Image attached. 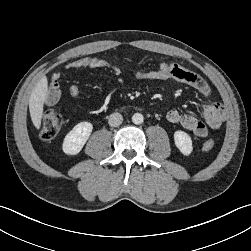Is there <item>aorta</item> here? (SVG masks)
<instances>
[{
	"instance_id": "762f6f07",
	"label": "aorta",
	"mask_w": 251,
	"mask_h": 251,
	"mask_svg": "<svg viewBox=\"0 0 251 251\" xmlns=\"http://www.w3.org/2000/svg\"><path fill=\"white\" fill-rule=\"evenodd\" d=\"M144 120V117L141 113H135L132 116V122L136 125L142 124Z\"/></svg>"
}]
</instances>
